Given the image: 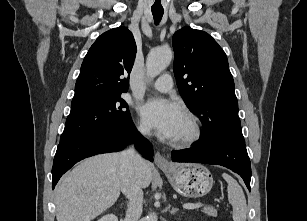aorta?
Returning <instances> with one entry per match:
<instances>
[{"instance_id":"762f6f07","label":"aorta","mask_w":307,"mask_h":221,"mask_svg":"<svg viewBox=\"0 0 307 221\" xmlns=\"http://www.w3.org/2000/svg\"><path fill=\"white\" fill-rule=\"evenodd\" d=\"M173 57L172 50L170 48H157L153 49L146 60V71L148 78H154L164 71L170 64ZM145 221H158L157 216L154 213H150L146 216Z\"/></svg>"}]
</instances>
